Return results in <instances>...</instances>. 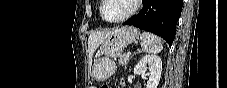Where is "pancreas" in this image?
Here are the masks:
<instances>
[{
	"mask_svg": "<svg viewBox=\"0 0 227 88\" xmlns=\"http://www.w3.org/2000/svg\"><path fill=\"white\" fill-rule=\"evenodd\" d=\"M128 60H129V56H127L126 53L123 54L118 61L119 65H122V66L126 65Z\"/></svg>",
	"mask_w": 227,
	"mask_h": 88,
	"instance_id": "1",
	"label": "pancreas"
}]
</instances>
